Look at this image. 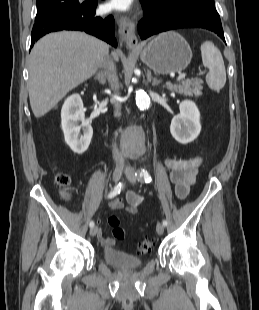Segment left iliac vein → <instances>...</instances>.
I'll return each instance as SVG.
<instances>
[{
    "label": "left iliac vein",
    "mask_w": 259,
    "mask_h": 310,
    "mask_svg": "<svg viewBox=\"0 0 259 310\" xmlns=\"http://www.w3.org/2000/svg\"><path fill=\"white\" fill-rule=\"evenodd\" d=\"M125 175L127 177V179L132 182L135 183L137 180V176H136V171L134 168L128 166L125 169ZM156 231L159 235H162L164 233V225L161 223H157L156 225Z\"/></svg>",
    "instance_id": "4c4485c4"
}]
</instances>
